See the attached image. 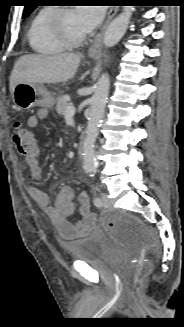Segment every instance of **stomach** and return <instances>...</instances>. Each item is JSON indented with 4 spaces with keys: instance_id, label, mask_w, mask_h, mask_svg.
Returning <instances> with one entry per match:
<instances>
[{
    "instance_id": "0dacf381",
    "label": "stomach",
    "mask_w": 184,
    "mask_h": 327,
    "mask_svg": "<svg viewBox=\"0 0 184 327\" xmlns=\"http://www.w3.org/2000/svg\"><path fill=\"white\" fill-rule=\"evenodd\" d=\"M12 99L15 108L23 110L36 106L51 109L56 101L43 85L31 83H18L14 88Z\"/></svg>"
}]
</instances>
